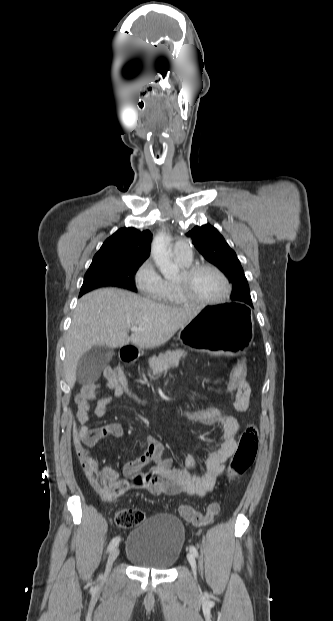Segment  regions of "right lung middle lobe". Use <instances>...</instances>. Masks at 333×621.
Here are the masks:
<instances>
[{
  "label": "right lung middle lobe",
  "mask_w": 333,
  "mask_h": 621,
  "mask_svg": "<svg viewBox=\"0 0 333 621\" xmlns=\"http://www.w3.org/2000/svg\"><path fill=\"white\" fill-rule=\"evenodd\" d=\"M142 261H100L92 262L85 274L79 296L102 286H117L137 292L133 276Z\"/></svg>",
  "instance_id": "obj_1"
}]
</instances>
